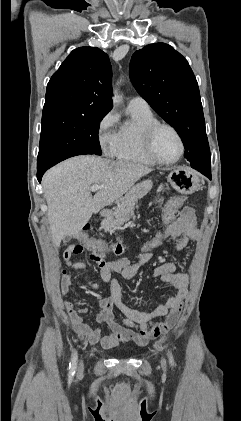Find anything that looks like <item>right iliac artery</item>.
Listing matches in <instances>:
<instances>
[{"mask_svg": "<svg viewBox=\"0 0 241 421\" xmlns=\"http://www.w3.org/2000/svg\"><path fill=\"white\" fill-rule=\"evenodd\" d=\"M76 368H77V352L74 351V353L72 355V358H71V362L69 364L70 377L75 374Z\"/></svg>", "mask_w": 241, "mask_h": 421, "instance_id": "obj_1", "label": "right iliac artery"}]
</instances>
